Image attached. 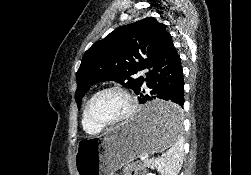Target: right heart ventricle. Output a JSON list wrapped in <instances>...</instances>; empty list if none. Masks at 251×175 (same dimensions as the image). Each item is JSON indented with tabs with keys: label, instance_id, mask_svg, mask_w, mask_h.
I'll return each instance as SVG.
<instances>
[{
	"label": "right heart ventricle",
	"instance_id": "1",
	"mask_svg": "<svg viewBox=\"0 0 251 175\" xmlns=\"http://www.w3.org/2000/svg\"><path fill=\"white\" fill-rule=\"evenodd\" d=\"M82 127L84 129V131L89 134V135H98L102 132L103 129L98 128L94 125H92L86 118L85 115V108L83 110V114H82Z\"/></svg>",
	"mask_w": 251,
	"mask_h": 175
}]
</instances>
